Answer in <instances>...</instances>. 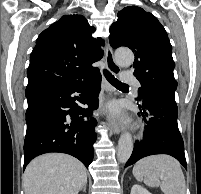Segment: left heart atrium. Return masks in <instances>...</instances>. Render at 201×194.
Returning a JSON list of instances; mask_svg holds the SVG:
<instances>
[{
  "mask_svg": "<svg viewBox=\"0 0 201 194\" xmlns=\"http://www.w3.org/2000/svg\"><path fill=\"white\" fill-rule=\"evenodd\" d=\"M108 112H109V115H111L114 118L120 117V110H119V107L117 105H111L108 108Z\"/></svg>",
  "mask_w": 201,
  "mask_h": 194,
  "instance_id": "left-heart-atrium-1",
  "label": "left heart atrium"
}]
</instances>
